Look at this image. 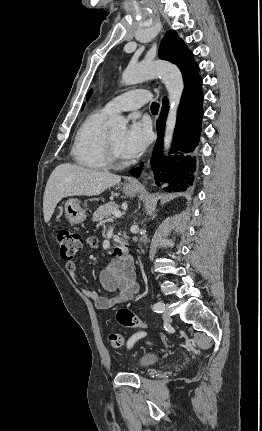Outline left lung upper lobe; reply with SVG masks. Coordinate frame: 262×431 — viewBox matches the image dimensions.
I'll list each match as a JSON object with an SVG mask.
<instances>
[{
	"label": "left lung upper lobe",
	"mask_w": 262,
	"mask_h": 431,
	"mask_svg": "<svg viewBox=\"0 0 262 431\" xmlns=\"http://www.w3.org/2000/svg\"><path fill=\"white\" fill-rule=\"evenodd\" d=\"M159 57L176 64L183 75L184 85H191L201 79L199 68L192 52L186 47L175 31H168L160 45Z\"/></svg>",
	"instance_id": "left-lung-upper-lobe-1"
}]
</instances>
